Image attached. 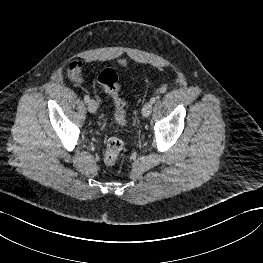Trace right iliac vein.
Returning <instances> with one entry per match:
<instances>
[{
	"label": "right iliac vein",
	"instance_id": "obj_1",
	"mask_svg": "<svg viewBox=\"0 0 263 263\" xmlns=\"http://www.w3.org/2000/svg\"><path fill=\"white\" fill-rule=\"evenodd\" d=\"M97 108H98V104H97V102L95 100H90L88 102V110H89V112L94 113V112H96Z\"/></svg>",
	"mask_w": 263,
	"mask_h": 263
}]
</instances>
